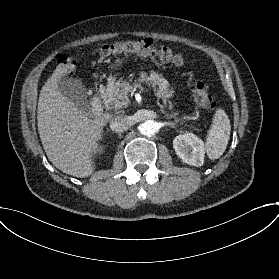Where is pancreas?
Listing matches in <instances>:
<instances>
[{
    "label": "pancreas",
    "mask_w": 279,
    "mask_h": 279,
    "mask_svg": "<svg viewBox=\"0 0 279 279\" xmlns=\"http://www.w3.org/2000/svg\"><path fill=\"white\" fill-rule=\"evenodd\" d=\"M138 82H145L148 85H151L155 91V96L158 99H162L165 105L167 104L168 98L174 93V91L170 89L169 82L162 76V74H158L155 71H151L150 74L145 71L140 72ZM132 89L133 87L123 80L110 84L102 94L104 105L111 109L127 107L129 103L128 93L131 92ZM168 108L170 110L173 108L171 103H169ZM162 112L166 113L164 109H162ZM177 115L178 113L167 114V118H174L175 122H179L181 119L176 118ZM183 119L189 120L191 118L185 116Z\"/></svg>",
    "instance_id": "obj_1"
}]
</instances>
